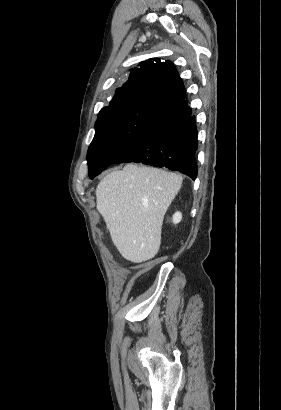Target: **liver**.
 Instances as JSON below:
<instances>
[{"label": "liver", "mask_w": 281, "mask_h": 410, "mask_svg": "<svg viewBox=\"0 0 281 410\" xmlns=\"http://www.w3.org/2000/svg\"><path fill=\"white\" fill-rule=\"evenodd\" d=\"M182 181L176 173L136 164H127L100 181L97 210L125 259L141 263L158 253L164 215Z\"/></svg>", "instance_id": "obj_1"}]
</instances>
